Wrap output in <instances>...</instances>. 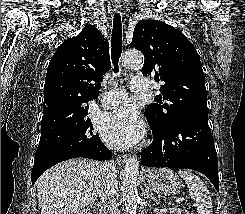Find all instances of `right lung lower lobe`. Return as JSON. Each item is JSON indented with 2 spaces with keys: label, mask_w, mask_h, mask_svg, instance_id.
<instances>
[{
  "label": "right lung lower lobe",
  "mask_w": 245,
  "mask_h": 214,
  "mask_svg": "<svg viewBox=\"0 0 245 214\" xmlns=\"http://www.w3.org/2000/svg\"><path fill=\"white\" fill-rule=\"evenodd\" d=\"M96 140L84 150L75 149L67 143H42L40 142L35 155V162L32 168V184L39 176L51 166L76 157L90 158L95 160H109L112 152L102 143L98 134Z\"/></svg>",
  "instance_id": "98d812e1"
}]
</instances>
